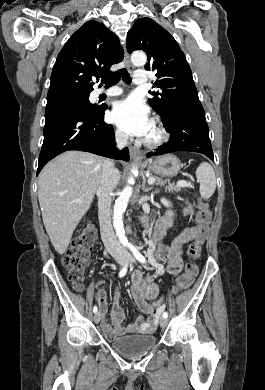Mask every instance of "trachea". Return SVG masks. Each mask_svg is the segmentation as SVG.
I'll use <instances>...</instances> for the list:
<instances>
[{
    "label": "trachea",
    "instance_id": "3493384b",
    "mask_svg": "<svg viewBox=\"0 0 265 390\" xmlns=\"http://www.w3.org/2000/svg\"><path fill=\"white\" fill-rule=\"evenodd\" d=\"M121 77L125 83H131V77L130 74L127 72L126 68L118 70L111 76L102 78V82L105 84L106 87H110L117 84Z\"/></svg>",
    "mask_w": 265,
    "mask_h": 390
}]
</instances>
